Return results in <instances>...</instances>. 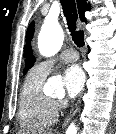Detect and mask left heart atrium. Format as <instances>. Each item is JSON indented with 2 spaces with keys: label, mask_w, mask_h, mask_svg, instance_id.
I'll return each mask as SVG.
<instances>
[{
  "label": "left heart atrium",
  "mask_w": 116,
  "mask_h": 134,
  "mask_svg": "<svg viewBox=\"0 0 116 134\" xmlns=\"http://www.w3.org/2000/svg\"><path fill=\"white\" fill-rule=\"evenodd\" d=\"M85 84V74L81 67L72 65L63 73V85L68 97H76Z\"/></svg>",
  "instance_id": "obj_1"
}]
</instances>
